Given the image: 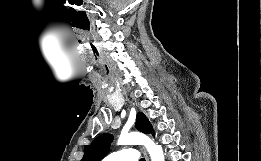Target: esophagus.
<instances>
[{
	"mask_svg": "<svg viewBox=\"0 0 261 161\" xmlns=\"http://www.w3.org/2000/svg\"><path fill=\"white\" fill-rule=\"evenodd\" d=\"M141 151L144 154L146 161H149V157H148V154H147L146 150L142 147Z\"/></svg>",
	"mask_w": 261,
	"mask_h": 161,
	"instance_id": "34e87169",
	"label": "esophagus"
}]
</instances>
